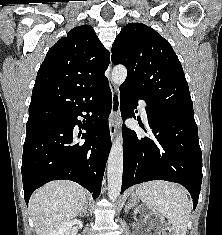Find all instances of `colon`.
I'll use <instances>...</instances> for the list:
<instances>
[{"label": "colon", "mask_w": 222, "mask_h": 235, "mask_svg": "<svg viewBox=\"0 0 222 235\" xmlns=\"http://www.w3.org/2000/svg\"><path fill=\"white\" fill-rule=\"evenodd\" d=\"M163 235H175V232L171 226L167 227Z\"/></svg>", "instance_id": "5ec220e1"}]
</instances>
